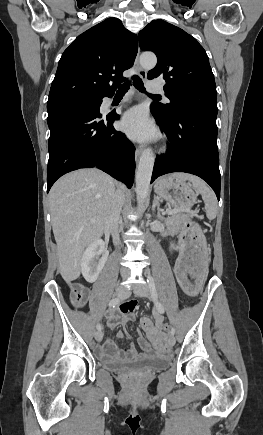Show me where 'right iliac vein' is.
Masks as SVG:
<instances>
[{
    "label": "right iliac vein",
    "instance_id": "63e3f726",
    "mask_svg": "<svg viewBox=\"0 0 263 435\" xmlns=\"http://www.w3.org/2000/svg\"><path fill=\"white\" fill-rule=\"evenodd\" d=\"M115 294L117 297L119 298H126L129 294V290L127 288L124 287H118L115 291ZM103 338V333L101 330H98L95 332V339L97 341H101Z\"/></svg>",
    "mask_w": 263,
    "mask_h": 435
}]
</instances>
